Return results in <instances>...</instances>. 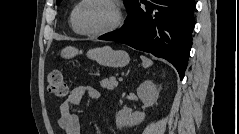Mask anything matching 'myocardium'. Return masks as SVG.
<instances>
[{
  "instance_id": "1",
  "label": "myocardium",
  "mask_w": 239,
  "mask_h": 134,
  "mask_svg": "<svg viewBox=\"0 0 239 134\" xmlns=\"http://www.w3.org/2000/svg\"><path fill=\"white\" fill-rule=\"evenodd\" d=\"M88 1H91V0L80 1L77 4V6L74 10V13H73L72 22H73V25H74L76 31L79 34L84 35V36H90V37H99V36L109 34L120 27L123 17H122V12H121L119 5L113 0H101V1L108 3L112 7V9L115 13V19H114L113 23L109 27H107L103 30H100V31L84 30L79 24V14H80V10H81L82 6Z\"/></svg>"
}]
</instances>
